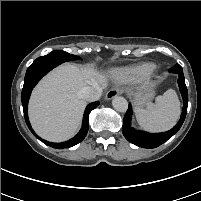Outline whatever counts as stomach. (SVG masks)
Wrapping results in <instances>:
<instances>
[{
	"mask_svg": "<svg viewBox=\"0 0 201 201\" xmlns=\"http://www.w3.org/2000/svg\"><path fill=\"white\" fill-rule=\"evenodd\" d=\"M127 92L133 96L135 104L138 106L145 105L154 96V90L150 85H143L135 89H129Z\"/></svg>",
	"mask_w": 201,
	"mask_h": 201,
	"instance_id": "stomach-1",
	"label": "stomach"
}]
</instances>
